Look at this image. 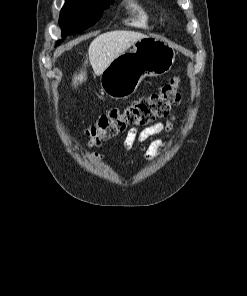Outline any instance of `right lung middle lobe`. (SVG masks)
<instances>
[{
  "instance_id": "1",
  "label": "right lung middle lobe",
  "mask_w": 247,
  "mask_h": 296,
  "mask_svg": "<svg viewBox=\"0 0 247 296\" xmlns=\"http://www.w3.org/2000/svg\"><path fill=\"white\" fill-rule=\"evenodd\" d=\"M113 0H66L59 18L62 36L81 32L94 25ZM62 40L57 41L59 45Z\"/></svg>"
}]
</instances>
